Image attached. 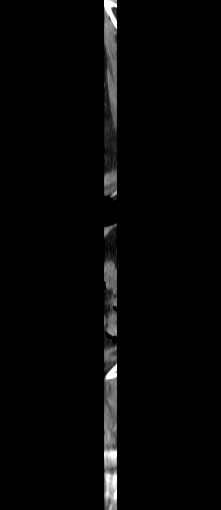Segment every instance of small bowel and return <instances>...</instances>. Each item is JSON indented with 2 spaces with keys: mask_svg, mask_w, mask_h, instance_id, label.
<instances>
[{
  "mask_svg": "<svg viewBox=\"0 0 221 510\" xmlns=\"http://www.w3.org/2000/svg\"><path fill=\"white\" fill-rule=\"evenodd\" d=\"M95 304V302H94ZM96 305H97V300H96ZM96 323L98 324V328L100 331H103L104 330V313L102 311V313H99L98 314V317L96 318Z\"/></svg>",
  "mask_w": 221,
  "mask_h": 510,
  "instance_id": "1",
  "label": "small bowel"
}]
</instances>
